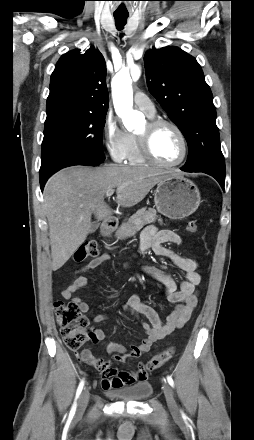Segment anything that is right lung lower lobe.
I'll return each instance as SVG.
<instances>
[{
  "instance_id": "1",
  "label": "right lung lower lobe",
  "mask_w": 254,
  "mask_h": 440,
  "mask_svg": "<svg viewBox=\"0 0 254 440\" xmlns=\"http://www.w3.org/2000/svg\"><path fill=\"white\" fill-rule=\"evenodd\" d=\"M47 179H48V178H43V179H40V187H41V190H43V188H44V185H45V183H46Z\"/></svg>"
}]
</instances>
